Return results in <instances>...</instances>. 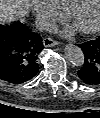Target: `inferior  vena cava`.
Masks as SVG:
<instances>
[{"instance_id":"inferior-vena-cava-1","label":"inferior vena cava","mask_w":100,"mask_h":118,"mask_svg":"<svg viewBox=\"0 0 100 118\" xmlns=\"http://www.w3.org/2000/svg\"><path fill=\"white\" fill-rule=\"evenodd\" d=\"M35 25L39 31H49L51 29V22L46 19L37 18Z\"/></svg>"}]
</instances>
